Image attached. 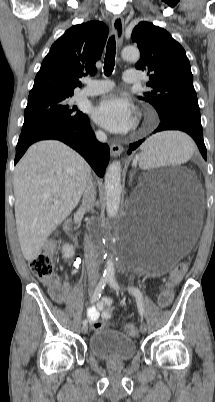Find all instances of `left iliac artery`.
I'll return each instance as SVG.
<instances>
[{
    "label": "left iliac artery",
    "instance_id": "obj_1",
    "mask_svg": "<svg viewBox=\"0 0 215 402\" xmlns=\"http://www.w3.org/2000/svg\"><path fill=\"white\" fill-rule=\"evenodd\" d=\"M108 283L109 285L115 289V290H119L120 287L118 285V283L116 282L114 277H110L108 278ZM129 292L131 294L134 295L135 299H136V303H137V307H138V311L141 315V317H143L144 315V306H143V297H142V293L140 292V290L136 287H130L128 288Z\"/></svg>",
    "mask_w": 215,
    "mask_h": 402
}]
</instances>
